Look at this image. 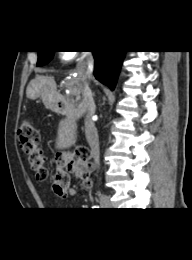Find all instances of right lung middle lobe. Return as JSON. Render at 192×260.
<instances>
[{"label":"right lung middle lobe","mask_w":192,"mask_h":260,"mask_svg":"<svg viewBox=\"0 0 192 260\" xmlns=\"http://www.w3.org/2000/svg\"><path fill=\"white\" fill-rule=\"evenodd\" d=\"M54 51H38L37 66H43L47 64L53 57Z\"/></svg>","instance_id":"right-lung-middle-lobe-1"}]
</instances>
